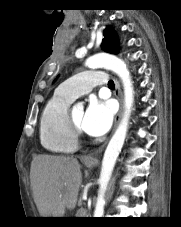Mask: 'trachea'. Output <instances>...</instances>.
I'll list each match as a JSON object with an SVG mask.
<instances>
[{
  "mask_svg": "<svg viewBox=\"0 0 181 227\" xmlns=\"http://www.w3.org/2000/svg\"><path fill=\"white\" fill-rule=\"evenodd\" d=\"M108 87L114 88V82H113V81H109V82H108Z\"/></svg>",
  "mask_w": 181,
  "mask_h": 227,
  "instance_id": "trachea-1",
  "label": "trachea"
}]
</instances>
